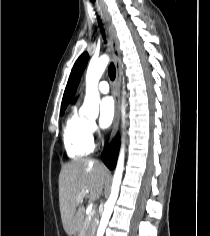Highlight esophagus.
<instances>
[{
  "label": "esophagus",
  "instance_id": "1",
  "mask_svg": "<svg viewBox=\"0 0 210 236\" xmlns=\"http://www.w3.org/2000/svg\"><path fill=\"white\" fill-rule=\"evenodd\" d=\"M104 17L107 24V29L110 35L111 40V50L114 57V63L116 67V81H115V115H114V121H113V130H112V136L111 140L114 139L119 125V108H120V81H121V51L119 48V41L116 35L115 28L113 24L111 23L110 17L106 10L103 8Z\"/></svg>",
  "mask_w": 210,
  "mask_h": 236
}]
</instances>
